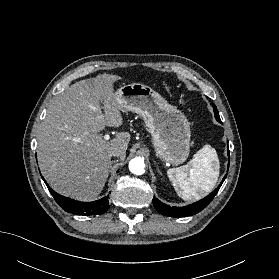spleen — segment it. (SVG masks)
Instances as JSON below:
<instances>
[{
	"instance_id": "1",
	"label": "spleen",
	"mask_w": 279,
	"mask_h": 279,
	"mask_svg": "<svg viewBox=\"0 0 279 279\" xmlns=\"http://www.w3.org/2000/svg\"><path fill=\"white\" fill-rule=\"evenodd\" d=\"M219 159L211 145H205L182 167L171 168L167 175L183 200L200 199L209 193L219 177Z\"/></svg>"
}]
</instances>
